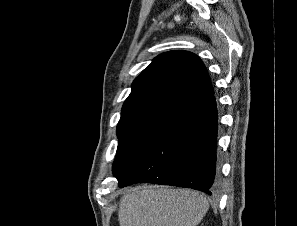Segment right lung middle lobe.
Listing matches in <instances>:
<instances>
[{
	"mask_svg": "<svg viewBox=\"0 0 297 226\" xmlns=\"http://www.w3.org/2000/svg\"><path fill=\"white\" fill-rule=\"evenodd\" d=\"M170 117L144 116L119 122L118 147L113 175L120 179L140 158L158 131Z\"/></svg>",
	"mask_w": 297,
	"mask_h": 226,
	"instance_id": "right-lung-middle-lobe-1",
	"label": "right lung middle lobe"
}]
</instances>
